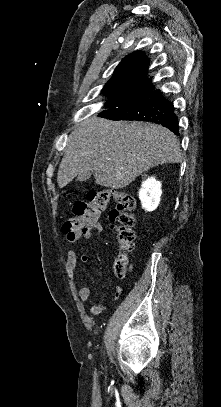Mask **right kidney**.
<instances>
[{"mask_svg":"<svg viewBox=\"0 0 221 407\" xmlns=\"http://www.w3.org/2000/svg\"><path fill=\"white\" fill-rule=\"evenodd\" d=\"M162 185L160 181H157L154 177H150L143 181L139 190V199L142 204V208L146 211H154L159 203L162 195Z\"/></svg>","mask_w":221,"mask_h":407,"instance_id":"1","label":"right kidney"}]
</instances>
